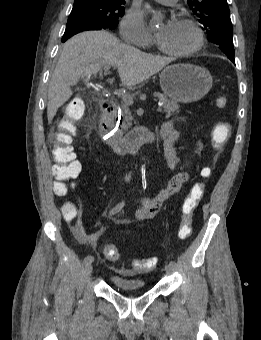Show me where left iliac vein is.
<instances>
[{"label": "left iliac vein", "instance_id": "left-iliac-vein-1", "mask_svg": "<svg viewBox=\"0 0 261 340\" xmlns=\"http://www.w3.org/2000/svg\"><path fill=\"white\" fill-rule=\"evenodd\" d=\"M174 270H175V267H173V266H171V265H169V264L165 265V271H166L167 273H173Z\"/></svg>", "mask_w": 261, "mask_h": 340}]
</instances>
